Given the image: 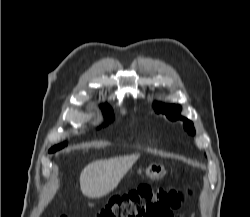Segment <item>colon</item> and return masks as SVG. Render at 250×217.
Masks as SVG:
<instances>
[{"instance_id":"colon-1","label":"colon","mask_w":250,"mask_h":217,"mask_svg":"<svg viewBox=\"0 0 250 217\" xmlns=\"http://www.w3.org/2000/svg\"><path fill=\"white\" fill-rule=\"evenodd\" d=\"M184 200L182 190L142 184L112 198L96 217H174L172 211L178 209Z\"/></svg>"}]
</instances>
